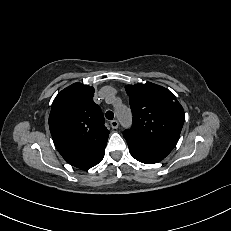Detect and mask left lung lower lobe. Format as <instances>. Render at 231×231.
Returning a JSON list of instances; mask_svg holds the SVG:
<instances>
[{"instance_id": "0a47b994", "label": "left lung lower lobe", "mask_w": 231, "mask_h": 231, "mask_svg": "<svg viewBox=\"0 0 231 231\" xmlns=\"http://www.w3.org/2000/svg\"><path fill=\"white\" fill-rule=\"evenodd\" d=\"M129 151L130 154L138 161L142 162V163H146V164H153V163H157L159 161H161L163 158L160 157H156V156H151V155H147L144 153H141L140 151L129 147Z\"/></svg>"}]
</instances>
